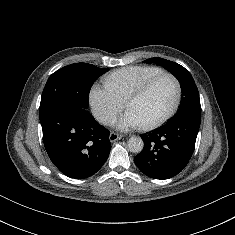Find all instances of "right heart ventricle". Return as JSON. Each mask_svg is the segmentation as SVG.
<instances>
[{
    "mask_svg": "<svg viewBox=\"0 0 235 235\" xmlns=\"http://www.w3.org/2000/svg\"><path fill=\"white\" fill-rule=\"evenodd\" d=\"M163 70L154 66H129L112 72L106 84L124 102L151 77Z\"/></svg>",
    "mask_w": 235,
    "mask_h": 235,
    "instance_id": "e07e8e85",
    "label": "right heart ventricle"
}]
</instances>
